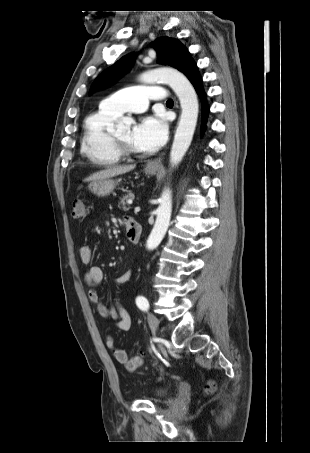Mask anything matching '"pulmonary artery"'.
<instances>
[{"mask_svg": "<svg viewBox=\"0 0 310 453\" xmlns=\"http://www.w3.org/2000/svg\"><path fill=\"white\" fill-rule=\"evenodd\" d=\"M165 99V91L161 86H136L121 89L102 102L101 106L118 115L124 112L142 113L149 100Z\"/></svg>", "mask_w": 310, "mask_h": 453, "instance_id": "pulmonary-artery-1", "label": "pulmonary artery"}]
</instances>
